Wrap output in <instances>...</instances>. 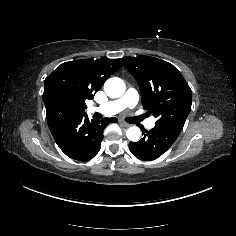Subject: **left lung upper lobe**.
I'll return each instance as SVG.
<instances>
[{"label": "left lung upper lobe", "instance_id": "obj_1", "mask_svg": "<svg viewBox=\"0 0 236 236\" xmlns=\"http://www.w3.org/2000/svg\"><path fill=\"white\" fill-rule=\"evenodd\" d=\"M122 61L139 84L143 107L158 118L156 123L183 127L191 110L192 92L178 69L144 55Z\"/></svg>", "mask_w": 236, "mask_h": 236}]
</instances>
